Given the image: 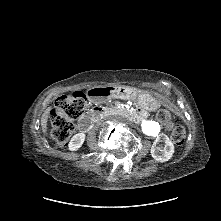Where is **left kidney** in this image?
<instances>
[{"instance_id":"obj_1","label":"left kidney","mask_w":221,"mask_h":221,"mask_svg":"<svg viewBox=\"0 0 221 221\" xmlns=\"http://www.w3.org/2000/svg\"><path fill=\"white\" fill-rule=\"evenodd\" d=\"M159 141L164 143L163 150H158L156 143H154L151 147L150 153L156 161L166 162L173 156L174 145L166 135L162 136Z\"/></svg>"}]
</instances>
